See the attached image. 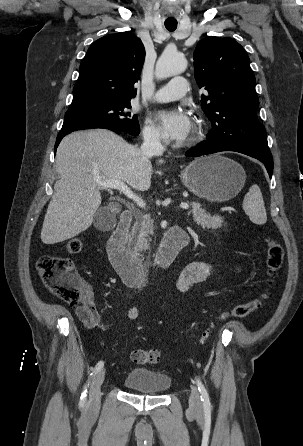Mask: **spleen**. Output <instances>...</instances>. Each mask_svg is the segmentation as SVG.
<instances>
[{"label":"spleen","mask_w":303,"mask_h":446,"mask_svg":"<svg viewBox=\"0 0 303 446\" xmlns=\"http://www.w3.org/2000/svg\"><path fill=\"white\" fill-rule=\"evenodd\" d=\"M243 209L253 223L258 225L266 223L267 214L262 193L257 184L252 185L249 192L245 195Z\"/></svg>","instance_id":"spleen-1"}]
</instances>
